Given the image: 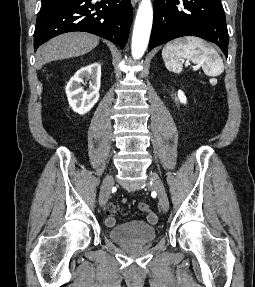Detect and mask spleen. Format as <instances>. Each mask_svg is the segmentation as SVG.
Segmentation results:
<instances>
[{
  "label": "spleen",
  "instance_id": "obj_1",
  "mask_svg": "<svg viewBox=\"0 0 255 287\" xmlns=\"http://www.w3.org/2000/svg\"><path fill=\"white\" fill-rule=\"evenodd\" d=\"M162 58L166 68L171 72H182V58L191 60L193 64H204L206 74L220 76L224 70L223 62L214 48L200 38H177L168 42L162 50Z\"/></svg>",
  "mask_w": 255,
  "mask_h": 287
}]
</instances>
